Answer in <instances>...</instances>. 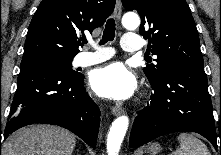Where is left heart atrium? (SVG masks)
<instances>
[{"instance_id": "left-heart-atrium-1", "label": "left heart atrium", "mask_w": 221, "mask_h": 155, "mask_svg": "<svg viewBox=\"0 0 221 155\" xmlns=\"http://www.w3.org/2000/svg\"><path fill=\"white\" fill-rule=\"evenodd\" d=\"M90 85L102 97L124 100L133 95L137 82L122 63H112L95 69L90 77Z\"/></svg>"}]
</instances>
